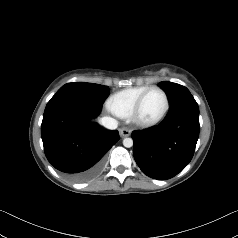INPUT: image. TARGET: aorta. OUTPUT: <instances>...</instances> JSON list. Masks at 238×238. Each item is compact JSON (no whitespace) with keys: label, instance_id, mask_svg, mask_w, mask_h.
<instances>
[{"label":"aorta","instance_id":"1","mask_svg":"<svg viewBox=\"0 0 238 238\" xmlns=\"http://www.w3.org/2000/svg\"><path fill=\"white\" fill-rule=\"evenodd\" d=\"M123 145H124V147H126V148L132 147V146H133V139H132V138H125V139L123 140Z\"/></svg>","mask_w":238,"mask_h":238}]
</instances>
